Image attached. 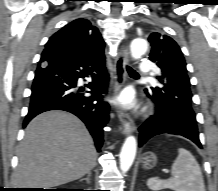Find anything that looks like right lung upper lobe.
I'll list each match as a JSON object with an SVG mask.
<instances>
[{
	"label": "right lung upper lobe",
	"mask_w": 218,
	"mask_h": 191,
	"mask_svg": "<svg viewBox=\"0 0 218 191\" xmlns=\"http://www.w3.org/2000/svg\"><path fill=\"white\" fill-rule=\"evenodd\" d=\"M105 43L95 26L86 19H76L56 32L45 49H56L79 57L104 55Z\"/></svg>",
	"instance_id": "1"
}]
</instances>
